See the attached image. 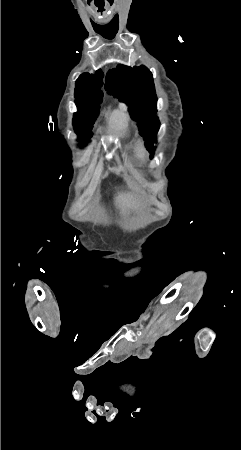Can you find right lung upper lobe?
Masks as SVG:
<instances>
[{
  "label": "right lung upper lobe",
  "mask_w": 241,
  "mask_h": 450,
  "mask_svg": "<svg viewBox=\"0 0 241 450\" xmlns=\"http://www.w3.org/2000/svg\"><path fill=\"white\" fill-rule=\"evenodd\" d=\"M94 76L98 77L102 81L103 72L101 70H99V71L96 72V74Z\"/></svg>",
  "instance_id": "obj_1"
}]
</instances>
